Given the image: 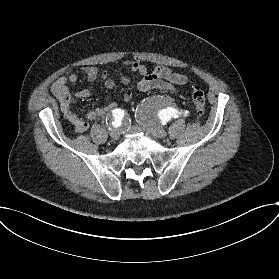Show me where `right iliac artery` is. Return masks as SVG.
<instances>
[{
  "mask_svg": "<svg viewBox=\"0 0 279 279\" xmlns=\"http://www.w3.org/2000/svg\"><path fill=\"white\" fill-rule=\"evenodd\" d=\"M112 113L113 117L115 118L114 121H112V125L117 128L121 124V120L124 116V111L121 109H115L112 111Z\"/></svg>",
  "mask_w": 279,
  "mask_h": 279,
  "instance_id": "right-iliac-artery-1",
  "label": "right iliac artery"
}]
</instances>
